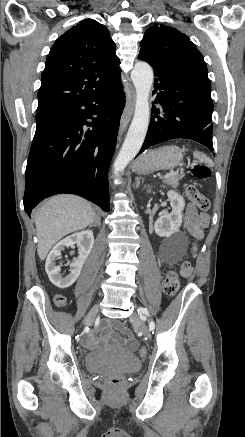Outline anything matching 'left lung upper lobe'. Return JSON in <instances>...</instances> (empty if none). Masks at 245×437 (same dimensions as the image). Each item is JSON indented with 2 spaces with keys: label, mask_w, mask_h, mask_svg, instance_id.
Segmentation results:
<instances>
[{
  "label": "left lung upper lobe",
  "mask_w": 245,
  "mask_h": 437,
  "mask_svg": "<svg viewBox=\"0 0 245 437\" xmlns=\"http://www.w3.org/2000/svg\"><path fill=\"white\" fill-rule=\"evenodd\" d=\"M138 56L211 90L206 63L190 39L177 29L155 24L146 30Z\"/></svg>",
  "instance_id": "5c2ea615"
}]
</instances>
